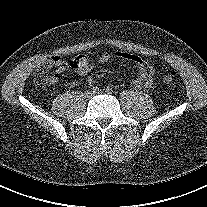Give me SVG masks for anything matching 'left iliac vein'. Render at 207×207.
I'll list each match as a JSON object with an SVG mask.
<instances>
[{
  "label": "left iliac vein",
  "instance_id": "left-iliac-vein-1",
  "mask_svg": "<svg viewBox=\"0 0 207 207\" xmlns=\"http://www.w3.org/2000/svg\"><path fill=\"white\" fill-rule=\"evenodd\" d=\"M97 94H102V92H99V93H97Z\"/></svg>",
  "mask_w": 207,
  "mask_h": 207
}]
</instances>
